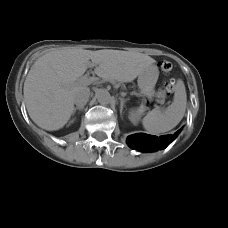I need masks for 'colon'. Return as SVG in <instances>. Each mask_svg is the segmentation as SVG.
<instances>
[{
	"label": "colon",
	"instance_id": "obj_1",
	"mask_svg": "<svg viewBox=\"0 0 228 228\" xmlns=\"http://www.w3.org/2000/svg\"><path fill=\"white\" fill-rule=\"evenodd\" d=\"M160 69L163 71V72H169L171 69H172V64L168 61H164V62H161L160 64ZM175 89V83L174 81H170L169 83H167L166 85V91L171 94Z\"/></svg>",
	"mask_w": 228,
	"mask_h": 228
}]
</instances>
